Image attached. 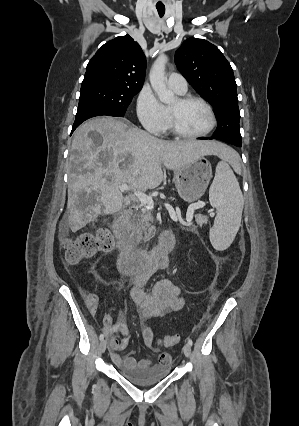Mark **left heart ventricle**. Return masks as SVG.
I'll use <instances>...</instances> for the list:
<instances>
[{
    "instance_id": "left-heart-ventricle-1",
    "label": "left heart ventricle",
    "mask_w": 299,
    "mask_h": 426,
    "mask_svg": "<svg viewBox=\"0 0 299 426\" xmlns=\"http://www.w3.org/2000/svg\"><path fill=\"white\" fill-rule=\"evenodd\" d=\"M169 108L176 111L179 126L185 132L201 133L210 125V115L199 102H189L179 106L175 100Z\"/></svg>"
}]
</instances>
